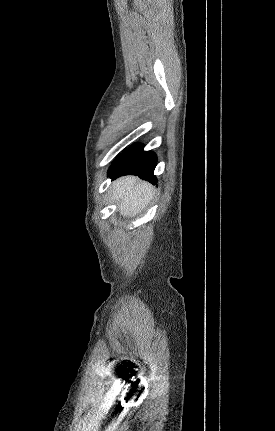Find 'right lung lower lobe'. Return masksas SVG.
<instances>
[{
  "instance_id": "98d812e1",
  "label": "right lung lower lobe",
  "mask_w": 275,
  "mask_h": 431,
  "mask_svg": "<svg viewBox=\"0 0 275 431\" xmlns=\"http://www.w3.org/2000/svg\"><path fill=\"white\" fill-rule=\"evenodd\" d=\"M157 162L155 153L143 151L142 144H135L120 154L112 163L108 176L112 179L123 175H138L140 178L156 184L153 174Z\"/></svg>"
}]
</instances>
